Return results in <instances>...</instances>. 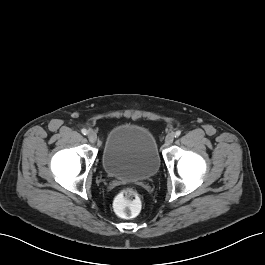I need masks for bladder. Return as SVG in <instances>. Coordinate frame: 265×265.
<instances>
[{"mask_svg": "<svg viewBox=\"0 0 265 265\" xmlns=\"http://www.w3.org/2000/svg\"><path fill=\"white\" fill-rule=\"evenodd\" d=\"M102 166L107 175L125 181H144L159 170L160 155L154 134L137 123H122L107 134Z\"/></svg>", "mask_w": 265, "mask_h": 265, "instance_id": "bladder-1", "label": "bladder"}]
</instances>
